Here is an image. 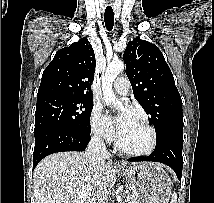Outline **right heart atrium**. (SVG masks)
I'll list each match as a JSON object with an SVG mask.
<instances>
[{"mask_svg":"<svg viewBox=\"0 0 214 203\" xmlns=\"http://www.w3.org/2000/svg\"><path fill=\"white\" fill-rule=\"evenodd\" d=\"M90 128L92 134L103 141H111L114 137V129L110 121L102 114L99 106L95 105L90 116Z\"/></svg>","mask_w":214,"mask_h":203,"instance_id":"right-heart-atrium-1","label":"right heart atrium"}]
</instances>
